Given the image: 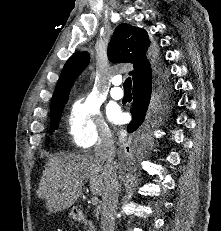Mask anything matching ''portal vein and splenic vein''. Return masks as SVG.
I'll return each instance as SVG.
<instances>
[{"mask_svg": "<svg viewBox=\"0 0 221 231\" xmlns=\"http://www.w3.org/2000/svg\"><path fill=\"white\" fill-rule=\"evenodd\" d=\"M98 202H99L98 197H93V198L91 199V203H92V205H97V204H98Z\"/></svg>", "mask_w": 221, "mask_h": 231, "instance_id": "obj_1", "label": "portal vein and splenic vein"}]
</instances>
